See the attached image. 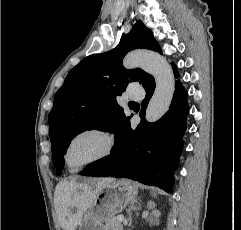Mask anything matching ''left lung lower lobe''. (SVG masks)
I'll list each match as a JSON object with an SVG mask.
<instances>
[{
	"label": "left lung lower lobe",
	"instance_id": "0a47b994",
	"mask_svg": "<svg viewBox=\"0 0 241 230\" xmlns=\"http://www.w3.org/2000/svg\"><path fill=\"white\" fill-rule=\"evenodd\" d=\"M172 66L178 78L176 66L173 63ZM143 87L146 97L141 103L140 124L133 130L130 118L123 120L110 155L93 162L80 175L129 178L172 192V171L178 166L182 138L187 129V91L180 81H176L169 110L157 122L148 123L144 116L155 89L154 79L151 78Z\"/></svg>",
	"mask_w": 241,
	"mask_h": 230
}]
</instances>
